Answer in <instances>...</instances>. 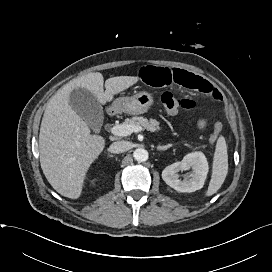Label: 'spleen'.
I'll list each match as a JSON object with an SVG mask.
<instances>
[{"label": "spleen", "mask_w": 272, "mask_h": 272, "mask_svg": "<svg viewBox=\"0 0 272 272\" xmlns=\"http://www.w3.org/2000/svg\"><path fill=\"white\" fill-rule=\"evenodd\" d=\"M228 173V153L225 138L220 136L216 143L213 158L212 176L206 192V196L215 194L225 181Z\"/></svg>", "instance_id": "spleen-1"}]
</instances>
